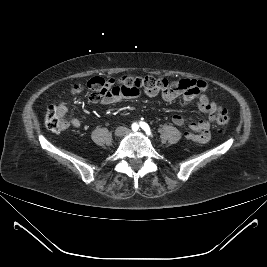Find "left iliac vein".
<instances>
[{"label": "left iliac vein", "instance_id": "1", "mask_svg": "<svg viewBox=\"0 0 267 267\" xmlns=\"http://www.w3.org/2000/svg\"><path fill=\"white\" fill-rule=\"evenodd\" d=\"M126 133H130V131L129 130H127V132Z\"/></svg>", "mask_w": 267, "mask_h": 267}]
</instances>
